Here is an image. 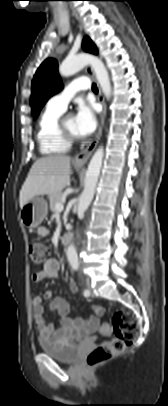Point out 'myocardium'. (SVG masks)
<instances>
[{
    "label": "myocardium",
    "mask_w": 168,
    "mask_h": 406,
    "mask_svg": "<svg viewBox=\"0 0 168 406\" xmlns=\"http://www.w3.org/2000/svg\"><path fill=\"white\" fill-rule=\"evenodd\" d=\"M70 116V114L62 115L59 120H58V130L60 132V135L69 143H72L78 139V136L71 133L67 128L65 127V119Z\"/></svg>",
    "instance_id": "f54148a6"
}]
</instances>
